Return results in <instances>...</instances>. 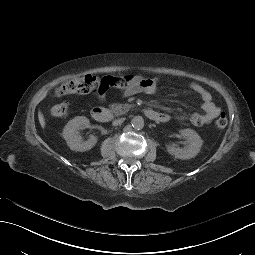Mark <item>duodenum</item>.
I'll return each mask as SVG.
<instances>
[{
  "mask_svg": "<svg viewBox=\"0 0 255 255\" xmlns=\"http://www.w3.org/2000/svg\"><path fill=\"white\" fill-rule=\"evenodd\" d=\"M144 114L150 120L155 121V122L164 123L169 120L168 115L154 111L152 109H145ZM91 115L94 120H96L98 122H102V123L109 122L114 118V112L112 110L105 108V107H94L91 111Z\"/></svg>",
  "mask_w": 255,
  "mask_h": 255,
  "instance_id": "obj_1",
  "label": "duodenum"
}]
</instances>
